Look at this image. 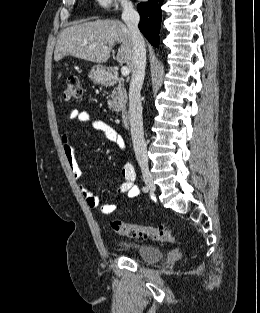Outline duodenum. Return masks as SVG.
<instances>
[{
    "mask_svg": "<svg viewBox=\"0 0 260 313\" xmlns=\"http://www.w3.org/2000/svg\"><path fill=\"white\" fill-rule=\"evenodd\" d=\"M105 81L108 85L113 86L117 82V77L115 76V74L112 71L107 70L106 75H105ZM129 121H130V119H129L128 112H126V111L123 112L121 114V123L123 124V126H128Z\"/></svg>",
    "mask_w": 260,
    "mask_h": 313,
    "instance_id": "1",
    "label": "duodenum"
}]
</instances>
